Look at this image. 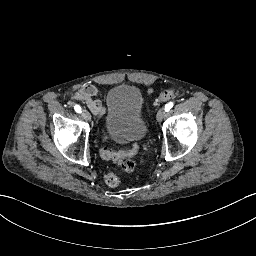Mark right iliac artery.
I'll return each instance as SVG.
<instances>
[{
    "label": "right iliac artery",
    "instance_id": "obj_1",
    "mask_svg": "<svg viewBox=\"0 0 256 256\" xmlns=\"http://www.w3.org/2000/svg\"><path fill=\"white\" fill-rule=\"evenodd\" d=\"M74 109L77 113H81V107L79 105H75Z\"/></svg>",
    "mask_w": 256,
    "mask_h": 256
}]
</instances>
